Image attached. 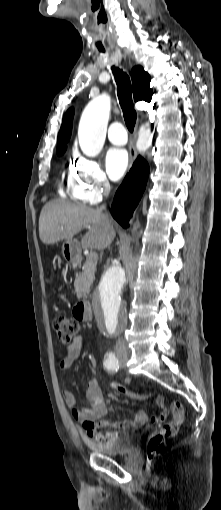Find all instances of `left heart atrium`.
Instances as JSON below:
<instances>
[{
    "label": "left heart atrium",
    "instance_id": "1",
    "mask_svg": "<svg viewBox=\"0 0 221 510\" xmlns=\"http://www.w3.org/2000/svg\"><path fill=\"white\" fill-rule=\"evenodd\" d=\"M129 165L128 154L124 149L112 148L106 155V166L109 176L113 180L120 179Z\"/></svg>",
    "mask_w": 221,
    "mask_h": 510
}]
</instances>
